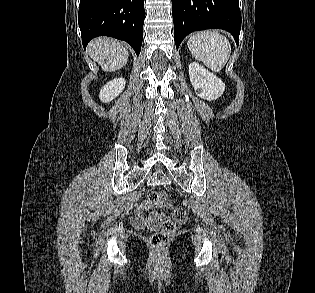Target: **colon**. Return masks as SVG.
Instances as JSON below:
<instances>
[{"label":"colon","instance_id":"obj_1","mask_svg":"<svg viewBox=\"0 0 315 293\" xmlns=\"http://www.w3.org/2000/svg\"><path fill=\"white\" fill-rule=\"evenodd\" d=\"M149 201L161 206L167 203V194L164 191H155L150 194ZM186 220V213L181 209L173 212L172 218H165L160 222L161 228L150 238V246L156 251H163L171 241L178 224Z\"/></svg>","mask_w":315,"mask_h":293}]
</instances>
